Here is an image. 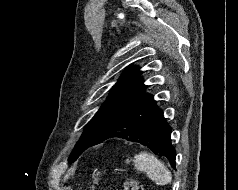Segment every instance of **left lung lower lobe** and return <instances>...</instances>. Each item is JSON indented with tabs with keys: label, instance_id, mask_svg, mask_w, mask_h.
<instances>
[{
	"label": "left lung lower lobe",
	"instance_id": "left-lung-lower-lobe-1",
	"mask_svg": "<svg viewBox=\"0 0 238 190\" xmlns=\"http://www.w3.org/2000/svg\"><path fill=\"white\" fill-rule=\"evenodd\" d=\"M111 137L147 146L154 153L165 156L175 169L176 151L171 144V127L153 95L144 93L124 111L103 141Z\"/></svg>",
	"mask_w": 238,
	"mask_h": 190
}]
</instances>
